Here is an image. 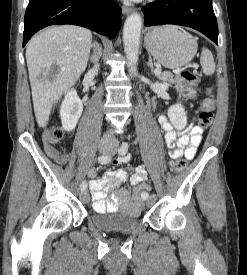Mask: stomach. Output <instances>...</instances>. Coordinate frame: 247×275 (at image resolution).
<instances>
[{
  "label": "stomach",
  "instance_id": "stomach-1",
  "mask_svg": "<svg viewBox=\"0 0 247 275\" xmlns=\"http://www.w3.org/2000/svg\"><path fill=\"white\" fill-rule=\"evenodd\" d=\"M145 47L165 68L176 69L194 58L197 41L180 27L167 25L150 29L145 36Z\"/></svg>",
  "mask_w": 247,
  "mask_h": 275
}]
</instances>
